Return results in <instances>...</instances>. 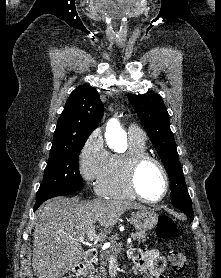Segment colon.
<instances>
[{"instance_id": "colon-1", "label": "colon", "mask_w": 221, "mask_h": 278, "mask_svg": "<svg viewBox=\"0 0 221 278\" xmlns=\"http://www.w3.org/2000/svg\"><path fill=\"white\" fill-rule=\"evenodd\" d=\"M156 233L160 238H173L176 236V225L169 216H161L158 219ZM172 272L182 274L187 266V258L178 250H171L169 253Z\"/></svg>"}]
</instances>
